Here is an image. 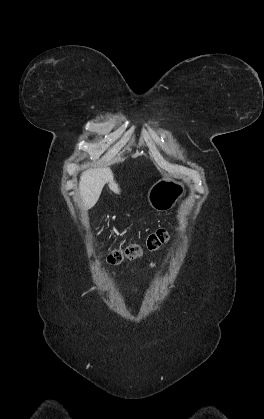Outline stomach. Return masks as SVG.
Listing matches in <instances>:
<instances>
[{"label":"stomach","instance_id":"stomach-1","mask_svg":"<svg viewBox=\"0 0 264 419\" xmlns=\"http://www.w3.org/2000/svg\"><path fill=\"white\" fill-rule=\"evenodd\" d=\"M183 182L162 178L157 181L148 191L147 200L150 206L158 212L172 210L185 195Z\"/></svg>","mask_w":264,"mask_h":419}]
</instances>
